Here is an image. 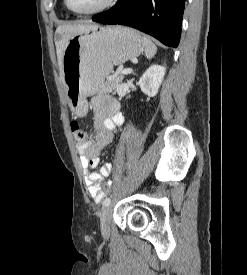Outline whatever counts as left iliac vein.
I'll return each instance as SVG.
<instances>
[{"label":"left iliac vein","instance_id":"obj_1","mask_svg":"<svg viewBox=\"0 0 247 275\" xmlns=\"http://www.w3.org/2000/svg\"><path fill=\"white\" fill-rule=\"evenodd\" d=\"M112 218V208L107 206L100 216V227L104 237H108L110 234V224Z\"/></svg>","mask_w":247,"mask_h":275}]
</instances>
